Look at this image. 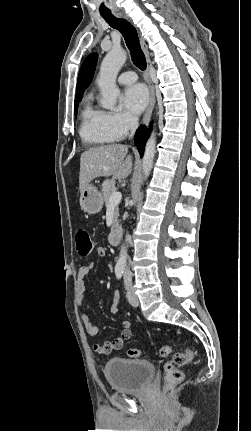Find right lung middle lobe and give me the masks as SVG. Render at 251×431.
Masks as SVG:
<instances>
[{
    "instance_id": "1",
    "label": "right lung middle lobe",
    "mask_w": 251,
    "mask_h": 431,
    "mask_svg": "<svg viewBox=\"0 0 251 431\" xmlns=\"http://www.w3.org/2000/svg\"><path fill=\"white\" fill-rule=\"evenodd\" d=\"M81 101V99H77V100H75V105H74V107H75V114H77V108H78V103Z\"/></svg>"
}]
</instances>
